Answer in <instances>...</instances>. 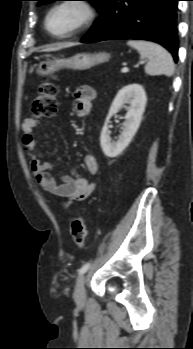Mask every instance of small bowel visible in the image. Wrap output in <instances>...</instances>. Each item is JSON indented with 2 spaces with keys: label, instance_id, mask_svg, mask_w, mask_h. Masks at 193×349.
I'll return each mask as SVG.
<instances>
[{
  "label": "small bowel",
  "instance_id": "obj_1",
  "mask_svg": "<svg viewBox=\"0 0 193 349\" xmlns=\"http://www.w3.org/2000/svg\"><path fill=\"white\" fill-rule=\"evenodd\" d=\"M95 96L96 92L90 86H80L76 89L73 97L78 117H85L90 113ZM39 124L40 120L31 117L24 119L21 125L22 144L29 155L30 166L38 183L48 193L66 199L67 206L86 200L95 190V183L77 173L73 168H70L67 173H61V182H56L52 174L55 164L44 161L42 153L36 150L34 129ZM84 165L90 175L98 172L99 165L94 155L87 154L84 158Z\"/></svg>",
  "mask_w": 193,
  "mask_h": 349
}]
</instances>
